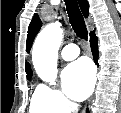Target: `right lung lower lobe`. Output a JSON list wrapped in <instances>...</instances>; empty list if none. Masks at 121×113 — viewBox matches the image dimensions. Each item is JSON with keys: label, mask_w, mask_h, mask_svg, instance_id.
Here are the masks:
<instances>
[{"label": "right lung lower lobe", "mask_w": 121, "mask_h": 113, "mask_svg": "<svg viewBox=\"0 0 121 113\" xmlns=\"http://www.w3.org/2000/svg\"><path fill=\"white\" fill-rule=\"evenodd\" d=\"M97 37L94 32L90 33V46L93 54V58L95 63L98 65V44H97Z\"/></svg>", "instance_id": "1"}]
</instances>
